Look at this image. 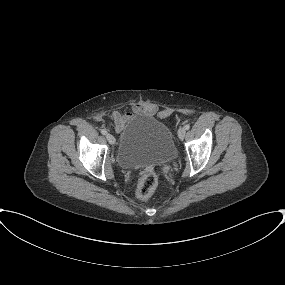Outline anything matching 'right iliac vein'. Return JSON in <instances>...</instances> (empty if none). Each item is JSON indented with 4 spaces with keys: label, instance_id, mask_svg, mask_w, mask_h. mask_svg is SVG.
<instances>
[{
    "label": "right iliac vein",
    "instance_id": "1",
    "mask_svg": "<svg viewBox=\"0 0 285 285\" xmlns=\"http://www.w3.org/2000/svg\"><path fill=\"white\" fill-rule=\"evenodd\" d=\"M106 138L110 144L113 145L115 143V137L112 134H107Z\"/></svg>",
    "mask_w": 285,
    "mask_h": 285
}]
</instances>
